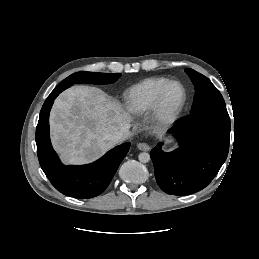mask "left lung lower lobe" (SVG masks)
<instances>
[{
	"label": "left lung lower lobe",
	"instance_id": "1",
	"mask_svg": "<svg viewBox=\"0 0 259 259\" xmlns=\"http://www.w3.org/2000/svg\"><path fill=\"white\" fill-rule=\"evenodd\" d=\"M179 141L172 152L158 143L151 150L160 188L189 195L205 188L220 170L229 151L230 118L226 108L204 109L177 121L169 130Z\"/></svg>",
	"mask_w": 259,
	"mask_h": 259
}]
</instances>
